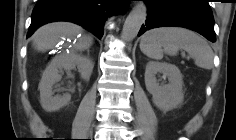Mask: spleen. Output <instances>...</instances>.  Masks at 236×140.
I'll return each instance as SVG.
<instances>
[{
	"label": "spleen",
	"mask_w": 236,
	"mask_h": 140,
	"mask_svg": "<svg viewBox=\"0 0 236 140\" xmlns=\"http://www.w3.org/2000/svg\"><path fill=\"white\" fill-rule=\"evenodd\" d=\"M141 51L149 58L161 60L163 54L176 55L185 50L195 64L204 69L213 66V51L201 36L179 27H162L146 32L140 42Z\"/></svg>",
	"instance_id": "1"
}]
</instances>
